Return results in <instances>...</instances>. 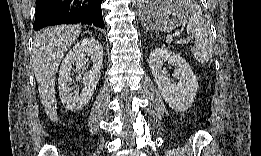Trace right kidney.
<instances>
[{
  "label": "right kidney",
  "mask_w": 261,
  "mask_h": 156,
  "mask_svg": "<svg viewBox=\"0 0 261 156\" xmlns=\"http://www.w3.org/2000/svg\"><path fill=\"white\" fill-rule=\"evenodd\" d=\"M86 55L91 56L93 64L92 71L79 78L84 83L81 93L74 96L71 93L70 83L72 66H76V71L80 72L86 64ZM103 64L102 44L94 37L84 38L73 46L63 59L59 70L58 88L62 103L68 110L78 111L91 99L96 85L100 79V71Z\"/></svg>",
  "instance_id": "obj_1"
}]
</instances>
